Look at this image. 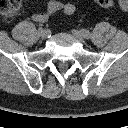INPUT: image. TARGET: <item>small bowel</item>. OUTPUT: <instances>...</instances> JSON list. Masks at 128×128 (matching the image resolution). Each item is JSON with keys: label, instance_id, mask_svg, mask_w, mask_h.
I'll list each match as a JSON object with an SVG mask.
<instances>
[{"label": "small bowel", "instance_id": "c3829d8e", "mask_svg": "<svg viewBox=\"0 0 128 128\" xmlns=\"http://www.w3.org/2000/svg\"><path fill=\"white\" fill-rule=\"evenodd\" d=\"M63 2L60 0H49L46 6V10L43 12H37L32 15V19L39 23L48 21L51 15L63 9Z\"/></svg>", "mask_w": 128, "mask_h": 128}]
</instances>
